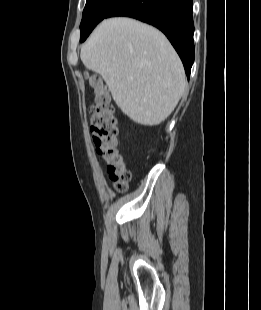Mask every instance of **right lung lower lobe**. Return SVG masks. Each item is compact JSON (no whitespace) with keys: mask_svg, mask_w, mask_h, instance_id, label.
I'll use <instances>...</instances> for the list:
<instances>
[{"mask_svg":"<svg viewBox=\"0 0 261 310\" xmlns=\"http://www.w3.org/2000/svg\"><path fill=\"white\" fill-rule=\"evenodd\" d=\"M192 0H124L106 18L133 17L160 29L179 54L189 78L194 62ZM92 30H88L83 42Z\"/></svg>","mask_w":261,"mask_h":310,"instance_id":"right-lung-lower-lobe-1","label":"right lung lower lobe"}]
</instances>
